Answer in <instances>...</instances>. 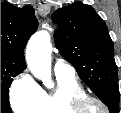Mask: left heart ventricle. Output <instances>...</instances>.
Instances as JSON below:
<instances>
[{"instance_id":"b2bd125f","label":"left heart ventricle","mask_w":121,"mask_h":113,"mask_svg":"<svg viewBox=\"0 0 121 113\" xmlns=\"http://www.w3.org/2000/svg\"><path fill=\"white\" fill-rule=\"evenodd\" d=\"M88 110L90 111V113H102L103 112L102 108L96 103L89 104Z\"/></svg>"}]
</instances>
